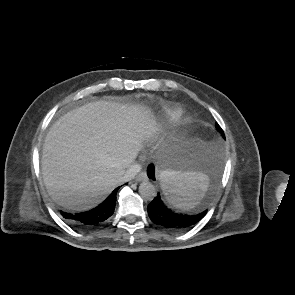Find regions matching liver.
<instances>
[{"instance_id":"obj_1","label":"liver","mask_w":295,"mask_h":295,"mask_svg":"<svg viewBox=\"0 0 295 295\" xmlns=\"http://www.w3.org/2000/svg\"><path fill=\"white\" fill-rule=\"evenodd\" d=\"M157 131L151 112L141 106L96 101L76 108L49 130L42 153V175L51 198L77 211L101 203Z\"/></svg>"}]
</instances>
